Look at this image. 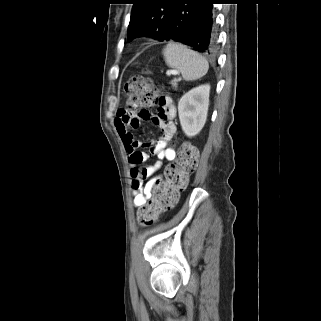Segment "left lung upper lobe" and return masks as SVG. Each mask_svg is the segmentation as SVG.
Segmentation results:
<instances>
[{
	"instance_id": "obj_1",
	"label": "left lung upper lobe",
	"mask_w": 321,
	"mask_h": 321,
	"mask_svg": "<svg viewBox=\"0 0 321 321\" xmlns=\"http://www.w3.org/2000/svg\"><path fill=\"white\" fill-rule=\"evenodd\" d=\"M128 41L135 37L150 36L162 41L167 22L178 0H132Z\"/></svg>"
}]
</instances>
